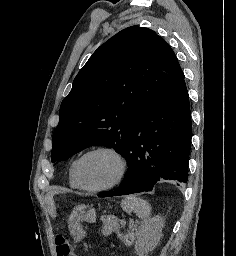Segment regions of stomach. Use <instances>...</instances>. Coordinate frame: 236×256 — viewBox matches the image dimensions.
<instances>
[{"mask_svg": "<svg viewBox=\"0 0 236 256\" xmlns=\"http://www.w3.org/2000/svg\"><path fill=\"white\" fill-rule=\"evenodd\" d=\"M96 213L93 208L86 205H78L74 207L68 224L70 234L73 236L74 241L79 242L84 237L85 232L82 229L81 222H95Z\"/></svg>", "mask_w": 236, "mask_h": 256, "instance_id": "stomach-1", "label": "stomach"}]
</instances>
